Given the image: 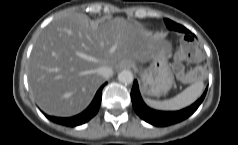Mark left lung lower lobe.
<instances>
[{
  "instance_id": "obj_1",
  "label": "left lung lower lobe",
  "mask_w": 238,
  "mask_h": 145,
  "mask_svg": "<svg viewBox=\"0 0 238 145\" xmlns=\"http://www.w3.org/2000/svg\"><path fill=\"white\" fill-rule=\"evenodd\" d=\"M175 30L179 32L190 33L189 30H187L185 27L181 25H177L175 27ZM186 37L191 38L188 35H186ZM206 92H207V89L194 104L180 111H174V112L156 111L149 108L143 102L139 92L138 83L135 80L131 90V99H132L134 110L141 119H143L144 121L154 126L165 127V126H169V125H173L175 123L181 122L185 120L186 118H188L189 116H191L204 100Z\"/></svg>"
}]
</instances>
